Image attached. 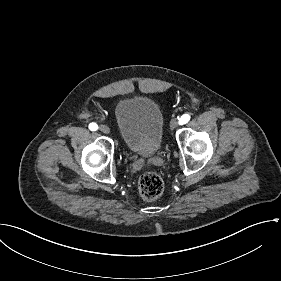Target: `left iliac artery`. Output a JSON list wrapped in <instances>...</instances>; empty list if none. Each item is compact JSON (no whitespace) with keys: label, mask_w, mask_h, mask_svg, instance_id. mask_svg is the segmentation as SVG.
<instances>
[{"label":"left iliac artery","mask_w":281,"mask_h":281,"mask_svg":"<svg viewBox=\"0 0 281 281\" xmlns=\"http://www.w3.org/2000/svg\"><path fill=\"white\" fill-rule=\"evenodd\" d=\"M189 120H190V115L184 114V115H182L181 118L179 119V124H180V125L185 124V123H187Z\"/></svg>","instance_id":"1"}]
</instances>
